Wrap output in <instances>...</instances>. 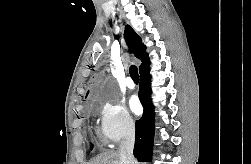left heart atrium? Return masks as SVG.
<instances>
[{
	"label": "left heart atrium",
	"instance_id": "left-heart-atrium-1",
	"mask_svg": "<svg viewBox=\"0 0 251 164\" xmlns=\"http://www.w3.org/2000/svg\"><path fill=\"white\" fill-rule=\"evenodd\" d=\"M130 109L132 110L133 113L139 114L141 111V105L136 96L131 97L129 101Z\"/></svg>",
	"mask_w": 251,
	"mask_h": 164
}]
</instances>
